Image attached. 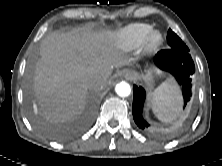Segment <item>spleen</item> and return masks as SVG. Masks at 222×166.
Here are the masks:
<instances>
[{
    "instance_id": "3e777b00",
    "label": "spleen",
    "mask_w": 222,
    "mask_h": 166,
    "mask_svg": "<svg viewBox=\"0 0 222 166\" xmlns=\"http://www.w3.org/2000/svg\"><path fill=\"white\" fill-rule=\"evenodd\" d=\"M150 104L156 117L164 123L177 118L181 111L179 87L172 78L167 79L150 94Z\"/></svg>"
}]
</instances>
